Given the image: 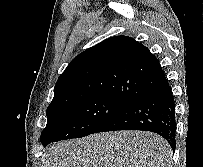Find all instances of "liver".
Instances as JSON below:
<instances>
[{
    "mask_svg": "<svg viewBox=\"0 0 203 167\" xmlns=\"http://www.w3.org/2000/svg\"><path fill=\"white\" fill-rule=\"evenodd\" d=\"M172 154L151 132H104L52 145L40 167H171Z\"/></svg>",
    "mask_w": 203,
    "mask_h": 167,
    "instance_id": "1",
    "label": "liver"
}]
</instances>
